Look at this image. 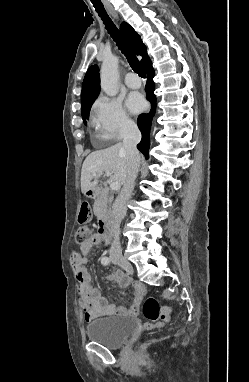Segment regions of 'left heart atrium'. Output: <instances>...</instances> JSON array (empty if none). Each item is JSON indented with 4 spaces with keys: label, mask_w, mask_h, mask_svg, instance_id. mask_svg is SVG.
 Here are the masks:
<instances>
[{
    "label": "left heart atrium",
    "mask_w": 249,
    "mask_h": 382,
    "mask_svg": "<svg viewBox=\"0 0 249 382\" xmlns=\"http://www.w3.org/2000/svg\"><path fill=\"white\" fill-rule=\"evenodd\" d=\"M145 106V101L139 94H132L127 100V107L132 113L140 112Z\"/></svg>",
    "instance_id": "1"
}]
</instances>
